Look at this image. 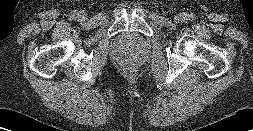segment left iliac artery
Returning <instances> with one entry per match:
<instances>
[{"instance_id": "1", "label": "left iliac artery", "mask_w": 253, "mask_h": 131, "mask_svg": "<svg viewBox=\"0 0 253 131\" xmlns=\"http://www.w3.org/2000/svg\"><path fill=\"white\" fill-rule=\"evenodd\" d=\"M186 19L192 21V20L195 19V15L192 14V13H190V14H188V15L186 16Z\"/></svg>"}]
</instances>
